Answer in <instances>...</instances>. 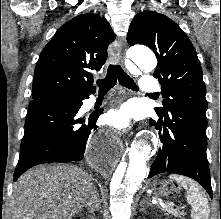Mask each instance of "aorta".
<instances>
[{
  "label": "aorta",
  "mask_w": 221,
  "mask_h": 219,
  "mask_svg": "<svg viewBox=\"0 0 221 219\" xmlns=\"http://www.w3.org/2000/svg\"><path fill=\"white\" fill-rule=\"evenodd\" d=\"M127 57L147 72L153 71L157 65L154 53L147 47H132L128 50ZM151 150L150 145L139 144L131 151L129 160L121 162L114 171L110 184L112 219H130L131 205L147 175Z\"/></svg>",
  "instance_id": "762f6f07"
}]
</instances>
